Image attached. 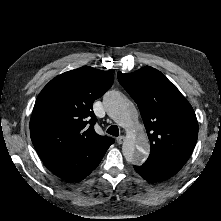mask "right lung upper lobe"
Segmentation results:
<instances>
[{"instance_id":"cb5924a9","label":"right lung upper lobe","mask_w":221,"mask_h":221,"mask_svg":"<svg viewBox=\"0 0 221 221\" xmlns=\"http://www.w3.org/2000/svg\"><path fill=\"white\" fill-rule=\"evenodd\" d=\"M113 81L112 73L84 66L58 75L44 87L30 119L32 143L43 162L87 144L114 143L95 132L92 110Z\"/></svg>"}]
</instances>
